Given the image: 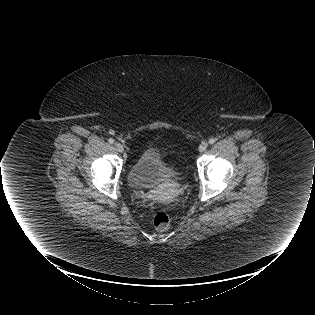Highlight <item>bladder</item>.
Wrapping results in <instances>:
<instances>
[{
    "label": "bladder",
    "instance_id": "obj_1",
    "mask_svg": "<svg viewBox=\"0 0 315 315\" xmlns=\"http://www.w3.org/2000/svg\"><path fill=\"white\" fill-rule=\"evenodd\" d=\"M180 173L163 161L160 148L151 146L145 149L129 168L127 181L135 189L153 188L167 180L180 179Z\"/></svg>",
    "mask_w": 315,
    "mask_h": 315
}]
</instances>
